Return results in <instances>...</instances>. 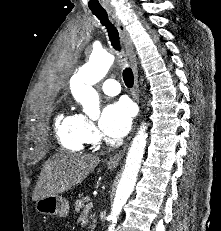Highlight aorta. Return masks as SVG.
I'll return each mask as SVG.
<instances>
[{"instance_id": "762f6f07", "label": "aorta", "mask_w": 221, "mask_h": 231, "mask_svg": "<svg viewBox=\"0 0 221 231\" xmlns=\"http://www.w3.org/2000/svg\"><path fill=\"white\" fill-rule=\"evenodd\" d=\"M114 60L115 56L106 50H93L89 61L70 80L73 97L82 105L84 113L89 116L99 114V97L93 85L107 74ZM147 137V125L142 123L132 140L126 157L125 168L109 215L111 224L107 231H116L118 216L134 189L145 152Z\"/></svg>"}]
</instances>
